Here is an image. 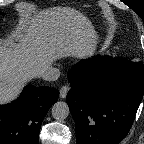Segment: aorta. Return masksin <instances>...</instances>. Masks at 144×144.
<instances>
[{"label":"aorta","mask_w":144,"mask_h":144,"mask_svg":"<svg viewBox=\"0 0 144 144\" xmlns=\"http://www.w3.org/2000/svg\"><path fill=\"white\" fill-rule=\"evenodd\" d=\"M52 116L57 120H64L68 117L70 111L66 102L58 101L52 106Z\"/></svg>","instance_id":"1"}]
</instances>
